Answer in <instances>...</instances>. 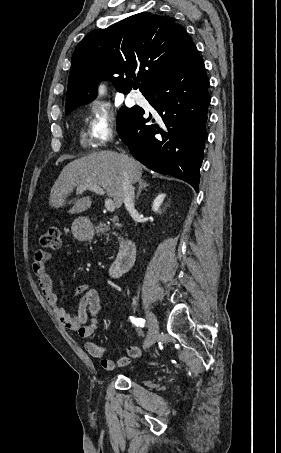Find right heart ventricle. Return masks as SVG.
Returning <instances> with one entry per match:
<instances>
[{"label":"right heart ventricle","mask_w":281,"mask_h":453,"mask_svg":"<svg viewBox=\"0 0 281 453\" xmlns=\"http://www.w3.org/2000/svg\"><path fill=\"white\" fill-rule=\"evenodd\" d=\"M80 144L83 148H91L94 147V143L92 140L88 139L86 134L82 133L80 136Z\"/></svg>","instance_id":"right-heart-ventricle-1"}]
</instances>
